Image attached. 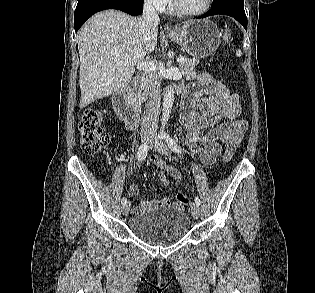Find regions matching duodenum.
<instances>
[{"label": "duodenum", "mask_w": 315, "mask_h": 293, "mask_svg": "<svg viewBox=\"0 0 315 293\" xmlns=\"http://www.w3.org/2000/svg\"><path fill=\"white\" fill-rule=\"evenodd\" d=\"M132 86H125L113 96V105L118 117L125 122L127 128L134 129L139 122V113L132 102Z\"/></svg>", "instance_id": "duodenum-1"}]
</instances>
